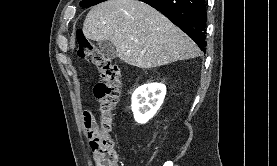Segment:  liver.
<instances>
[{"label": "liver", "instance_id": "6515ba94", "mask_svg": "<svg viewBox=\"0 0 277 166\" xmlns=\"http://www.w3.org/2000/svg\"><path fill=\"white\" fill-rule=\"evenodd\" d=\"M83 33L90 40L111 41L122 61L143 69L200 56L190 37L138 0H107L94 6Z\"/></svg>", "mask_w": 277, "mask_h": 166}]
</instances>
